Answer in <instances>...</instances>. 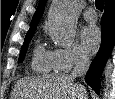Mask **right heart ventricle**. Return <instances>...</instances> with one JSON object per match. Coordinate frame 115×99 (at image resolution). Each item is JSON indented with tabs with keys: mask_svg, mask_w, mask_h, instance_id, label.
I'll return each instance as SVG.
<instances>
[{
	"mask_svg": "<svg viewBox=\"0 0 115 99\" xmlns=\"http://www.w3.org/2000/svg\"><path fill=\"white\" fill-rule=\"evenodd\" d=\"M32 68L35 72L41 74H49L56 70L52 59V51H48L43 46L37 45L33 52Z\"/></svg>",
	"mask_w": 115,
	"mask_h": 99,
	"instance_id": "1",
	"label": "right heart ventricle"
}]
</instances>
